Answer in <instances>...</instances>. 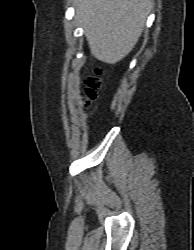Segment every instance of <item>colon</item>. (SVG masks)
Instances as JSON below:
<instances>
[{
	"instance_id": "1",
	"label": "colon",
	"mask_w": 194,
	"mask_h": 250,
	"mask_svg": "<svg viewBox=\"0 0 194 250\" xmlns=\"http://www.w3.org/2000/svg\"><path fill=\"white\" fill-rule=\"evenodd\" d=\"M102 72H103V70L97 69L95 71L94 76L88 77L86 79V81H85V84H86L85 93H86L87 101L93 100L96 97L97 91H98L99 86H100L99 77L101 76Z\"/></svg>"
}]
</instances>
